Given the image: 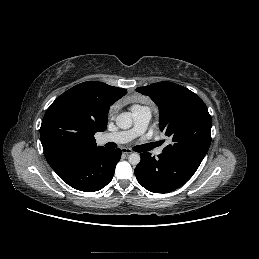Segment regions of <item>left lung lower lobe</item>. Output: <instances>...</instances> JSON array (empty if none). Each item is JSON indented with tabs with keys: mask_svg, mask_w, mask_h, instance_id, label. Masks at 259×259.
<instances>
[{
	"mask_svg": "<svg viewBox=\"0 0 259 259\" xmlns=\"http://www.w3.org/2000/svg\"><path fill=\"white\" fill-rule=\"evenodd\" d=\"M134 173L148 191L168 193L185 184L196 172L202 160L196 157L162 152L157 158L141 153Z\"/></svg>",
	"mask_w": 259,
	"mask_h": 259,
	"instance_id": "obj_1",
	"label": "left lung lower lobe"
}]
</instances>
